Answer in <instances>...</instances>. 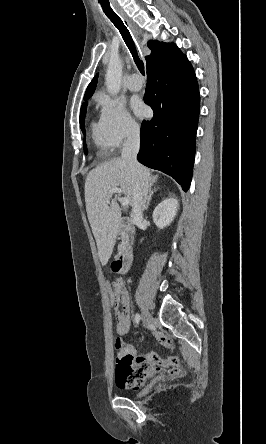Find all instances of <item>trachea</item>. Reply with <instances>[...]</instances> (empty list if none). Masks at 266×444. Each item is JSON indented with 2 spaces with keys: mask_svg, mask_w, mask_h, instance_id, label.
<instances>
[{
  "mask_svg": "<svg viewBox=\"0 0 266 444\" xmlns=\"http://www.w3.org/2000/svg\"><path fill=\"white\" fill-rule=\"evenodd\" d=\"M101 6H102L103 11L106 14V16L110 19V21L114 24V26L119 30L125 44L127 45L128 49L134 59V62L136 64L137 68L139 69L141 74L144 75V63L139 57L137 47L130 35L129 30L124 25L121 18L117 14H115L114 11L110 8L109 3H101Z\"/></svg>",
  "mask_w": 266,
  "mask_h": 444,
  "instance_id": "3493384b",
  "label": "trachea"
}]
</instances>
